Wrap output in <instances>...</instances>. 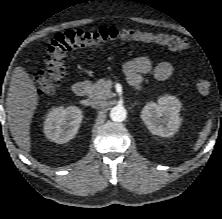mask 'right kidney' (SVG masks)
I'll return each mask as SVG.
<instances>
[{"instance_id": "1", "label": "right kidney", "mask_w": 222, "mask_h": 219, "mask_svg": "<svg viewBox=\"0 0 222 219\" xmlns=\"http://www.w3.org/2000/svg\"><path fill=\"white\" fill-rule=\"evenodd\" d=\"M83 118L76 106L52 108L44 121V134L49 140L63 144L75 137Z\"/></svg>"}]
</instances>
